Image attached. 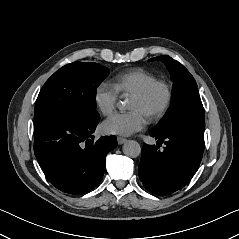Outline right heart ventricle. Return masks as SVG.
Wrapping results in <instances>:
<instances>
[{"mask_svg":"<svg viewBox=\"0 0 239 239\" xmlns=\"http://www.w3.org/2000/svg\"><path fill=\"white\" fill-rule=\"evenodd\" d=\"M154 80L156 78L152 74L136 70L120 76L115 83V88L124 96L131 97Z\"/></svg>","mask_w":239,"mask_h":239,"instance_id":"e07e8e85","label":"right heart ventricle"}]
</instances>
